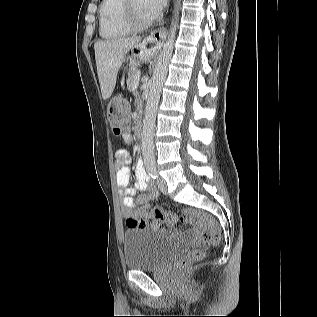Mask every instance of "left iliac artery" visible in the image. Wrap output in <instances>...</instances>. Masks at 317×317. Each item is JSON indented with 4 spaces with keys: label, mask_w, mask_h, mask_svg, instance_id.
Returning a JSON list of instances; mask_svg holds the SVG:
<instances>
[{
    "label": "left iliac artery",
    "mask_w": 317,
    "mask_h": 317,
    "mask_svg": "<svg viewBox=\"0 0 317 317\" xmlns=\"http://www.w3.org/2000/svg\"><path fill=\"white\" fill-rule=\"evenodd\" d=\"M148 173H149V175H150L152 178H154V179L158 178V172H157V169H156L155 166L150 167V168L148 169Z\"/></svg>",
    "instance_id": "obj_1"
}]
</instances>
